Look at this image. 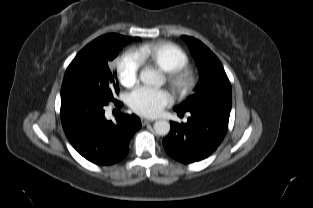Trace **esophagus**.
Returning a JSON list of instances; mask_svg holds the SVG:
<instances>
[{
	"instance_id": "34e87169",
	"label": "esophagus",
	"mask_w": 313,
	"mask_h": 208,
	"mask_svg": "<svg viewBox=\"0 0 313 208\" xmlns=\"http://www.w3.org/2000/svg\"><path fill=\"white\" fill-rule=\"evenodd\" d=\"M152 122H154V120L146 119V118L141 119V123L143 126H145L146 124L152 123Z\"/></svg>"
}]
</instances>
